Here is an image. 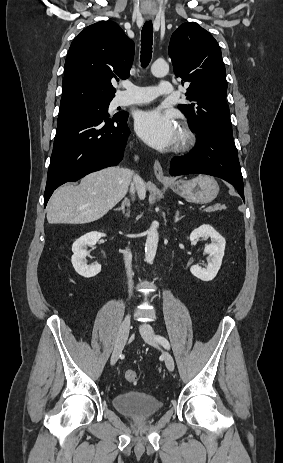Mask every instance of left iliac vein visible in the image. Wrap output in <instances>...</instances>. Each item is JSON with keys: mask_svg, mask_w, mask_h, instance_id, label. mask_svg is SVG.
Segmentation results:
<instances>
[{"mask_svg": "<svg viewBox=\"0 0 283 463\" xmlns=\"http://www.w3.org/2000/svg\"><path fill=\"white\" fill-rule=\"evenodd\" d=\"M139 330L145 342H147L148 344L152 346H157V342L154 337V330L149 324L147 323L141 324L139 326ZM164 357H165V364H166L167 369L169 371H173L175 367V362H174L172 355L168 352H164Z\"/></svg>", "mask_w": 283, "mask_h": 463, "instance_id": "4c4485c4", "label": "left iliac vein"}]
</instances>
